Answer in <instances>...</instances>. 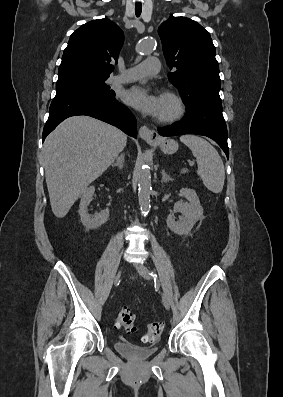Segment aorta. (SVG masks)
I'll use <instances>...</instances> for the list:
<instances>
[{"mask_svg": "<svg viewBox=\"0 0 283 397\" xmlns=\"http://www.w3.org/2000/svg\"><path fill=\"white\" fill-rule=\"evenodd\" d=\"M155 46V41L152 38H147L141 41L137 46L136 50L140 54H149L152 52ZM138 201L141 209V213L147 215L150 211V193H151V173L147 162H144L139 172L138 180Z\"/></svg>", "mask_w": 283, "mask_h": 397, "instance_id": "aorta-1", "label": "aorta"}]
</instances>
